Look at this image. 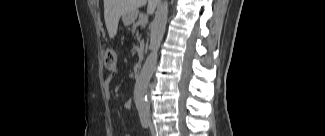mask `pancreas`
Listing matches in <instances>:
<instances>
[{"mask_svg": "<svg viewBox=\"0 0 325 136\" xmlns=\"http://www.w3.org/2000/svg\"><path fill=\"white\" fill-rule=\"evenodd\" d=\"M136 23L135 24H132L131 27L128 29V32L130 34H135L138 32V29L136 28ZM135 37L137 36L138 38H141L142 37V34L141 33H137L134 35Z\"/></svg>", "mask_w": 325, "mask_h": 136, "instance_id": "obj_1", "label": "pancreas"}]
</instances>
